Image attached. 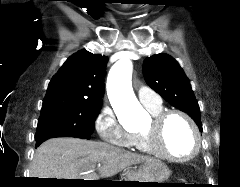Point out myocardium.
Instances as JSON below:
<instances>
[{"label":"myocardium","mask_w":240,"mask_h":187,"mask_svg":"<svg viewBox=\"0 0 240 187\" xmlns=\"http://www.w3.org/2000/svg\"><path fill=\"white\" fill-rule=\"evenodd\" d=\"M172 115L182 117L191 128L194 136L193 150L190 154H188L185 157L174 156L165 151L161 146V134L163 125L165 124L166 120ZM141 134L145 138L147 146L152 154L173 162L178 163L188 162L194 159L199 154L201 149V134L196 123L187 113L181 110L171 109L161 111L160 113L153 115L150 128L143 130Z\"/></svg>","instance_id":"1"}]
</instances>
